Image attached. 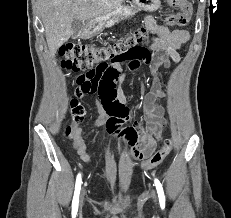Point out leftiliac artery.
I'll return each mask as SVG.
<instances>
[{"instance_id": "left-iliac-artery-1", "label": "left iliac artery", "mask_w": 231, "mask_h": 218, "mask_svg": "<svg viewBox=\"0 0 231 218\" xmlns=\"http://www.w3.org/2000/svg\"><path fill=\"white\" fill-rule=\"evenodd\" d=\"M155 186H156V189H157L160 206H161L162 209H164L165 208V196H164L162 185H161V183L159 182L158 179H155Z\"/></svg>"}]
</instances>
